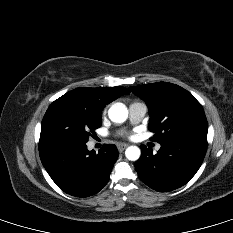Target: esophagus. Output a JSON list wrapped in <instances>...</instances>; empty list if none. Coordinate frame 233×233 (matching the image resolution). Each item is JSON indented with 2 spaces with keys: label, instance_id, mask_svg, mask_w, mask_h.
I'll return each mask as SVG.
<instances>
[{
  "label": "esophagus",
  "instance_id": "esophagus-1",
  "mask_svg": "<svg viewBox=\"0 0 233 233\" xmlns=\"http://www.w3.org/2000/svg\"><path fill=\"white\" fill-rule=\"evenodd\" d=\"M127 147H128V144H119V145H117V148H118L119 152L124 151Z\"/></svg>",
  "mask_w": 233,
  "mask_h": 233
}]
</instances>
